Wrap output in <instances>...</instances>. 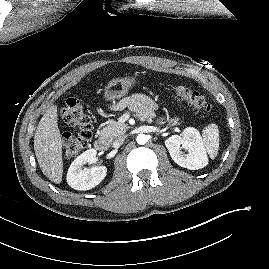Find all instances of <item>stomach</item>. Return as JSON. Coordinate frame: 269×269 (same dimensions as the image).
Instances as JSON below:
<instances>
[{"label": "stomach", "mask_w": 269, "mask_h": 269, "mask_svg": "<svg viewBox=\"0 0 269 269\" xmlns=\"http://www.w3.org/2000/svg\"><path fill=\"white\" fill-rule=\"evenodd\" d=\"M138 82L136 76H126L110 80L104 91V98L115 103L125 97L129 90Z\"/></svg>", "instance_id": "1"}]
</instances>
